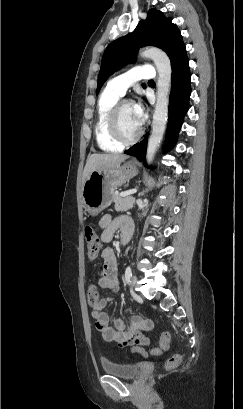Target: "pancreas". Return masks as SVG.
Masks as SVG:
<instances>
[{
  "instance_id": "pancreas-1",
  "label": "pancreas",
  "mask_w": 243,
  "mask_h": 409,
  "mask_svg": "<svg viewBox=\"0 0 243 409\" xmlns=\"http://www.w3.org/2000/svg\"><path fill=\"white\" fill-rule=\"evenodd\" d=\"M113 202L115 203V210L118 212H122L130 210L134 207L135 198L131 196L122 197L119 193H114Z\"/></svg>"
}]
</instances>
